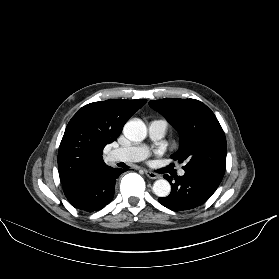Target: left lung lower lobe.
I'll return each mask as SVG.
<instances>
[{
	"label": "left lung lower lobe",
	"mask_w": 279,
	"mask_h": 279,
	"mask_svg": "<svg viewBox=\"0 0 279 279\" xmlns=\"http://www.w3.org/2000/svg\"><path fill=\"white\" fill-rule=\"evenodd\" d=\"M173 177L164 175V178L170 182L172 190L169 196L158 199L163 206L173 211L189 210L202 205L219 186L204 176L192 172L185 171L183 176Z\"/></svg>",
	"instance_id": "1"
}]
</instances>
